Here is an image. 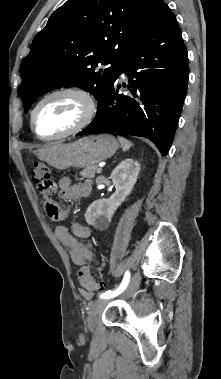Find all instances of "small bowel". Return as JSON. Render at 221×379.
Wrapping results in <instances>:
<instances>
[{
	"instance_id": "c3829d8e",
	"label": "small bowel",
	"mask_w": 221,
	"mask_h": 379,
	"mask_svg": "<svg viewBox=\"0 0 221 379\" xmlns=\"http://www.w3.org/2000/svg\"><path fill=\"white\" fill-rule=\"evenodd\" d=\"M59 189V193L64 200H74L78 198H84L89 196L91 192V182L84 181L81 183L73 184L69 177H61L58 184L52 183L51 190L42 195L45 204L46 211L50 219L60 221L65 218V212H62L61 208L50 200V196ZM55 235L64 247L69 250L70 258L76 265L82 266L86 263L89 250L88 247L79 241V239H87L91 235V230L88 226L80 224L78 222H72L68 227L64 224H59L55 228ZM86 298H90L91 294L82 292Z\"/></svg>"
}]
</instances>
